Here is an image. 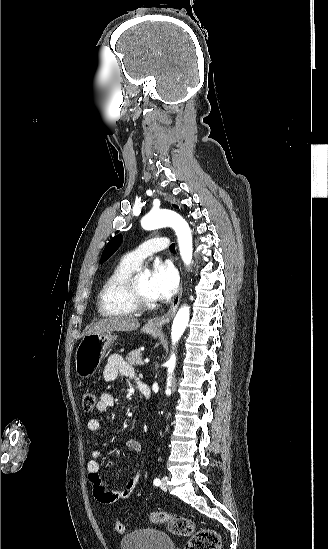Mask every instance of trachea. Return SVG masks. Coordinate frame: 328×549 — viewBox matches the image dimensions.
Returning <instances> with one entry per match:
<instances>
[{
	"label": "trachea",
	"mask_w": 328,
	"mask_h": 549,
	"mask_svg": "<svg viewBox=\"0 0 328 549\" xmlns=\"http://www.w3.org/2000/svg\"><path fill=\"white\" fill-rule=\"evenodd\" d=\"M170 250L175 251V244L170 245Z\"/></svg>",
	"instance_id": "1"
}]
</instances>
